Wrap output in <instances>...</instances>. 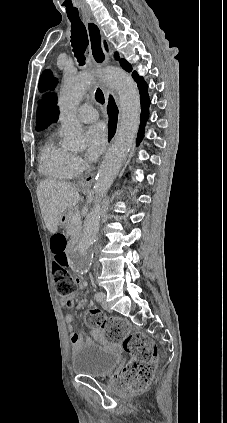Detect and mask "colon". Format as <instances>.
<instances>
[{
  "mask_svg": "<svg viewBox=\"0 0 227 423\" xmlns=\"http://www.w3.org/2000/svg\"><path fill=\"white\" fill-rule=\"evenodd\" d=\"M51 250L54 256L53 272L58 293L61 297L73 296L76 283L69 272L70 258L67 252L66 237L57 233L51 237ZM86 322L96 328L104 329L113 339H123V348L131 360L124 366L122 381L130 391L147 387L154 376L158 359L155 343L141 332H130L129 325L117 318H106L97 310L90 309Z\"/></svg>",
  "mask_w": 227,
  "mask_h": 423,
  "instance_id": "5ec220e1",
  "label": "colon"
}]
</instances>
